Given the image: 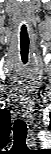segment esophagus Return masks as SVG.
I'll return each instance as SVG.
<instances>
[{
    "mask_svg": "<svg viewBox=\"0 0 51 154\" xmlns=\"http://www.w3.org/2000/svg\"><path fill=\"white\" fill-rule=\"evenodd\" d=\"M23 117H25V118H27L29 120V117H31L30 108L25 107L23 109ZM29 133H30V129H29ZM34 144H35V139L30 134V138H28V145H34Z\"/></svg>",
    "mask_w": 51,
    "mask_h": 154,
    "instance_id": "esophagus-1",
    "label": "esophagus"
}]
</instances>
